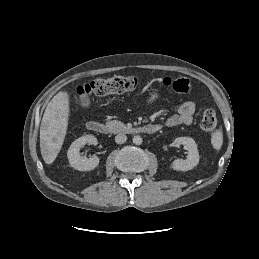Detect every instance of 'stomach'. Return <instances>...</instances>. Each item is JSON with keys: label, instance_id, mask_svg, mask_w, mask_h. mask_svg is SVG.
I'll use <instances>...</instances> for the list:
<instances>
[{"label": "stomach", "instance_id": "obj_1", "mask_svg": "<svg viewBox=\"0 0 259 259\" xmlns=\"http://www.w3.org/2000/svg\"><path fill=\"white\" fill-rule=\"evenodd\" d=\"M160 95L156 92H154L153 94H151V96L148 98L147 103L148 104H152L154 102H156L157 100H159Z\"/></svg>", "mask_w": 259, "mask_h": 259}]
</instances>
